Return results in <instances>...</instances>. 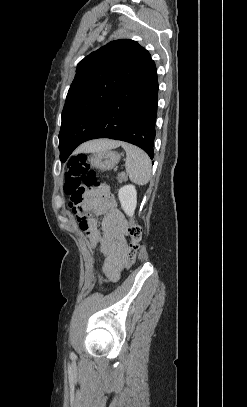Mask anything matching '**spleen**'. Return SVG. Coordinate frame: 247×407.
<instances>
[{
  "mask_svg": "<svg viewBox=\"0 0 247 407\" xmlns=\"http://www.w3.org/2000/svg\"><path fill=\"white\" fill-rule=\"evenodd\" d=\"M126 151L125 168L129 179L138 184L145 185L151 178V160L140 148L129 143L121 144Z\"/></svg>",
  "mask_w": 247,
  "mask_h": 407,
  "instance_id": "3e777b00",
  "label": "spleen"
}]
</instances>
